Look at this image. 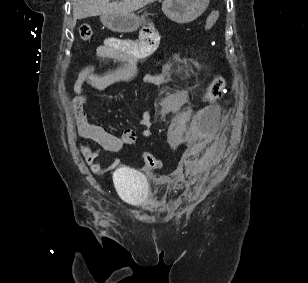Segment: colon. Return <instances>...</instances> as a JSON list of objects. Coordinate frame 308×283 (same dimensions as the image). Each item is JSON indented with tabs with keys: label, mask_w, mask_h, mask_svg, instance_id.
I'll return each instance as SVG.
<instances>
[{
	"label": "colon",
	"mask_w": 308,
	"mask_h": 283,
	"mask_svg": "<svg viewBox=\"0 0 308 283\" xmlns=\"http://www.w3.org/2000/svg\"><path fill=\"white\" fill-rule=\"evenodd\" d=\"M220 14L218 11H212L205 21V29H211L218 21ZM79 35L80 38L84 41H89L93 36V30L89 24H81L79 27ZM225 79L222 76H217L207 87L204 100L207 102H214L218 100L224 90H225ZM143 161L145 165L152 169H158L162 166L161 161L152 153H144L143 154Z\"/></svg>",
	"instance_id": "5ec220e1"
}]
</instances>
